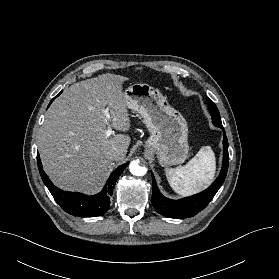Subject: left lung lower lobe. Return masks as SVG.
<instances>
[{
  "instance_id": "left-lung-lower-lobe-1",
  "label": "left lung lower lobe",
  "mask_w": 279,
  "mask_h": 279,
  "mask_svg": "<svg viewBox=\"0 0 279 279\" xmlns=\"http://www.w3.org/2000/svg\"><path fill=\"white\" fill-rule=\"evenodd\" d=\"M223 129V127H220ZM229 165V155H228V140L225 135L223 136V165L219 177L212 183L210 187L201 193L196 195L183 198L180 200H171L164 197L155 182L152 175V204L157 212L160 214L171 217V218H186L192 217L203 210L209 202L212 200L214 195L217 193L219 188L222 186Z\"/></svg>"
}]
</instances>
